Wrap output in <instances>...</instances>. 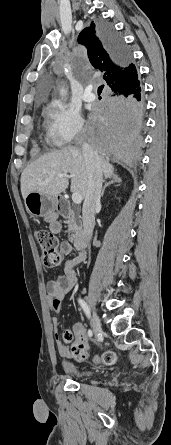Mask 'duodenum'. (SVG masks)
I'll return each mask as SVG.
<instances>
[{
	"label": "duodenum",
	"mask_w": 171,
	"mask_h": 445,
	"mask_svg": "<svg viewBox=\"0 0 171 445\" xmlns=\"http://www.w3.org/2000/svg\"><path fill=\"white\" fill-rule=\"evenodd\" d=\"M57 208L60 215H66L70 212V206L67 200L59 198ZM75 245L78 249L83 250L87 243V237L83 232H80L75 237Z\"/></svg>",
	"instance_id": "1"
}]
</instances>
